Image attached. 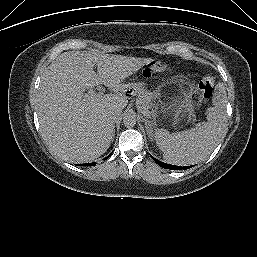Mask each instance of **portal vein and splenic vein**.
Masks as SVG:
<instances>
[{"label": "portal vein and splenic vein", "mask_w": 257, "mask_h": 257, "mask_svg": "<svg viewBox=\"0 0 257 257\" xmlns=\"http://www.w3.org/2000/svg\"><path fill=\"white\" fill-rule=\"evenodd\" d=\"M101 97H102L101 93H95L93 91H91L89 94H84L85 100L95 101L100 99ZM143 114L147 117H150V112L147 109L143 110Z\"/></svg>", "instance_id": "obj_1"}]
</instances>
